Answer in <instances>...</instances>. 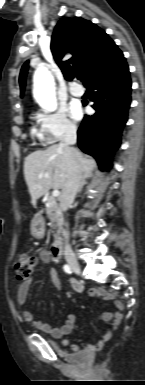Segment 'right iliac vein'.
Returning <instances> with one entry per match:
<instances>
[{"mask_svg": "<svg viewBox=\"0 0 145 385\" xmlns=\"http://www.w3.org/2000/svg\"><path fill=\"white\" fill-rule=\"evenodd\" d=\"M67 262L70 266V268L76 273V274H80L81 273V267L78 263V261L73 258V257H69L67 258Z\"/></svg>", "mask_w": 145, "mask_h": 385, "instance_id": "obj_1", "label": "right iliac vein"}]
</instances>
